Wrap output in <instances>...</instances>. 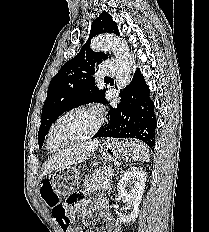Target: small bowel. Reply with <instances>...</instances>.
Instances as JSON below:
<instances>
[{
	"instance_id": "obj_1",
	"label": "small bowel",
	"mask_w": 209,
	"mask_h": 232,
	"mask_svg": "<svg viewBox=\"0 0 209 232\" xmlns=\"http://www.w3.org/2000/svg\"><path fill=\"white\" fill-rule=\"evenodd\" d=\"M86 191L85 190H72L71 194H67V198L64 201V209H66V213H86L85 205H82L83 199L86 198ZM96 208H104L105 202L104 200H99L94 203ZM65 232H82L78 228L75 227H68L64 229Z\"/></svg>"
}]
</instances>
